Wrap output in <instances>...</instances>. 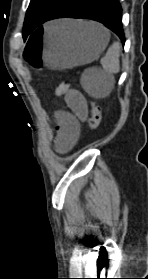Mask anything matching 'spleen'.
Returning <instances> with one entry per match:
<instances>
[{"label":"spleen","instance_id":"1","mask_svg":"<svg viewBox=\"0 0 148 279\" xmlns=\"http://www.w3.org/2000/svg\"><path fill=\"white\" fill-rule=\"evenodd\" d=\"M86 26H94L93 23H85ZM51 30H55V27H49ZM121 45L115 41L107 50L106 55L101 58V64L104 70V76L106 79L100 81H92L86 75H83L81 84L83 88L89 93V95L96 98H104L108 96L114 86V73L120 71V57Z\"/></svg>","mask_w":148,"mask_h":279}]
</instances>
